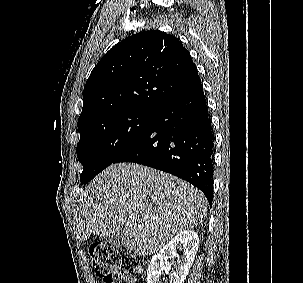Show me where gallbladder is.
<instances>
[{
	"label": "gallbladder",
	"instance_id": "1",
	"mask_svg": "<svg viewBox=\"0 0 303 283\" xmlns=\"http://www.w3.org/2000/svg\"><path fill=\"white\" fill-rule=\"evenodd\" d=\"M121 232H122V230L118 231L114 235L106 236L105 240L107 242L111 243L113 246L119 247L122 245Z\"/></svg>",
	"mask_w": 303,
	"mask_h": 283
}]
</instances>
